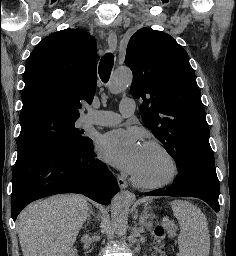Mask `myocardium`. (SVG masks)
<instances>
[{"mask_svg": "<svg viewBox=\"0 0 236 256\" xmlns=\"http://www.w3.org/2000/svg\"><path fill=\"white\" fill-rule=\"evenodd\" d=\"M125 86L128 87L129 84H126ZM145 146L156 148L165 154V156L167 157L171 165L170 174L165 179L157 183L143 182L140 179H138L134 174H131L130 175L131 183L137 188L149 190V191L159 190L172 184L177 179L180 173L179 163L176 157L174 156V154L172 153V151L162 142L156 141V140L147 141L145 143Z\"/></svg>", "mask_w": 236, "mask_h": 256, "instance_id": "1", "label": "myocardium"}]
</instances>
